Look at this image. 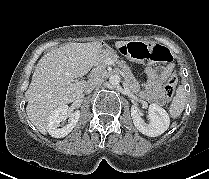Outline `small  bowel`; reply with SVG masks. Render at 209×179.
Instances as JSON below:
<instances>
[{"label": "small bowel", "mask_w": 209, "mask_h": 179, "mask_svg": "<svg viewBox=\"0 0 209 179\" xmlns=\"http://www.w3.org/2000/svg\"><path fill=\"white\" fill-rule=\"evenodd\" d=\"M173 67L171 65L147 67V81L141 97L155 104H162L165 99L162 89L165 81L170 77Z\"/></svg>", "instance_id": "small-bowel-1"}]
</instances>
